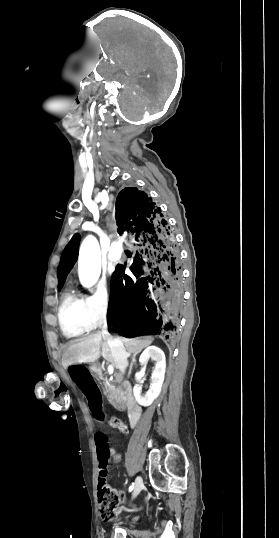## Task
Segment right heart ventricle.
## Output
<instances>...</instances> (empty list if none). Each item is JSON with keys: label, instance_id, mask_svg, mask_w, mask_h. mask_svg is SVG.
<instances>
[{"label": "right heart ventricle", "instance_id": "1", "mask_svg": "<svg viewBox=\"0 0 279 538\" xmlns=\"http://www.w3.org/2000/svg\"><path fill=\"white\" fill-rule=\"evenodd\" d=\"M60 222L58 213L54 216ZM89 225L85 229H90ZM86 296L77 294L72 287L63 294L58 307V320L62 333L66 337H76L91 329L86 312Z\"/></svg>", "mask_w": 279, "mask_h": 538}]
</instances>
